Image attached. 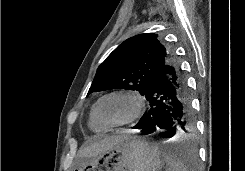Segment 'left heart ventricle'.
<instances>
[{
  "label": "left heart ventricle",
  "mask_w": 245,
  "mask_h": 171,
  "mask_svg": "<svg viewBox=\"0 0 245 171\" xmlns=\"http://www.w3.org/2000/svg\"><path fill=\"white\" fill-rule=\"evenodd\" d=\"M134 102L124 96H112L103 100L99 106V114L108 123H117L130 116Z\"/></svg>",
  "instance_id": "left-heart-ventricle-1"
}]
</instances>
